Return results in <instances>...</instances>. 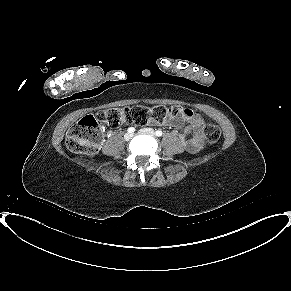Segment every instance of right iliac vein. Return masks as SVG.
Here are the masks:
<instances>
[{
  "mask_svg": "<svg viewBox=\"0 0 291 291\" xmlns=\"http://www.w3.org/2000/svg\"><path fill=\"white\" fill-rule=\"evenodd\" d=\"M132 137H133V134H132V133H126V134L124 135V139H125V141H129Z\"/></svg>",
  "mask_w": 291,
  "mask_h": 291,
  "instance_id": "right-iliac-vein-1",
  "label": "right iliac vein"
}]
</instances>
